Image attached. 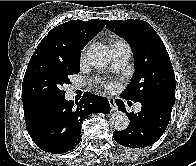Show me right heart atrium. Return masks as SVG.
<instances>
[{"label": "right heart atrium", "mask_w": 196, "mask_h": 166, "mask_svg": "<svg viewBox=\"0 0 196 166\" xmlns=\"http://www.w3.org/2000/svg\"><path fill=\"white\" fill-rule=\"evenodd\" d=\"M87 51H88V46L86 45V46L82 49V51H81V55H80L81 60H84V59L86 58Z\"/></svg>", "instance_id": "d8ad5b80"}]
</instances>
